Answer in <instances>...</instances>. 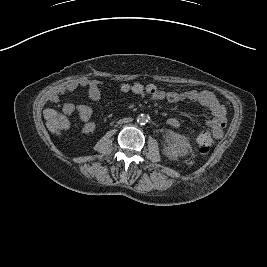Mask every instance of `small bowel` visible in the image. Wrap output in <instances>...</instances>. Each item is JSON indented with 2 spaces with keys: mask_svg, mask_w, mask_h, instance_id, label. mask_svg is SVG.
Masks as SVG:
<instances>
[{
  "mask_svg": "<svg viewBox=\"0 0 267 267\" xmlns=\"http://www.w3.org/2000/svg\"><path fill=\"white\" fill-rule=\"evenodd\" d=\"M83 87L87 89L88 98L92 101H98L101 98L102 83L95 79L81 78L72 81L66 85L63 91L57 94L53 100L58 101L59 96L64 92L74 91L75 89ZM141 96L144 94L140 93ZM155 100H166L170 103L190 102L199 104L209 110L211 117L206 120L205 124L209 127L210 131L202 132L201 135L208 137L209 141L220 139L223 135V130L226 126V109L218 98L210 91L207 90H187L183 92L168 91L159 95L152 96ZM65 114L77 112L79 119L84 123L82 132L89 135L94 132L95 124L91 121L92 108L86 104H73L65 103L62 107ZM167 123L173 128H179L181 123L175 118L171 117Z\"/></svg>",
  "mask_w": 267,
  "mask_h": 267,
  "instance_id": "c3829d8e",
  "label": "small bowel"
}]
</instances>
